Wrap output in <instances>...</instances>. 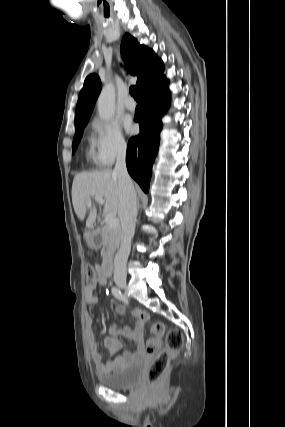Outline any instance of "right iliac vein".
<instances>
[{"label":"right iliac vein","instance_id":"right-iliac-vein-1","mask_svg":"<svg viewBox=\"0 0 285 427\" xmlns=\"http://www.w3.org/2000/svg\"><path fill=\"white\" fill-rule=\"evenodd\" d=\"M115 283L122 290H124L126 288V285H127L126 280L125 279H121V278H116L115 279Z\"/></svg>","mask_w":285,"mask_h":427}]
</instances>
